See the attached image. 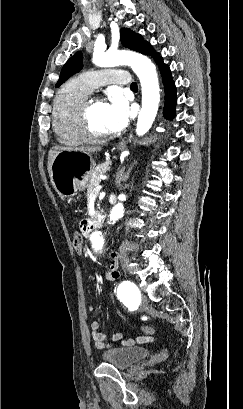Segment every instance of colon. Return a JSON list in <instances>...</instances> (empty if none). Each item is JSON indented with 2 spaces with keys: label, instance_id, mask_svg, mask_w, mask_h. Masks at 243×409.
I'll list each match as a JSON object with an SVG mask.
<instances>
[{
  "label": "colon",
  "instance_id": "5ec220e1",
  "mask_svg": "<svg viewBox=\"0 0 243 409\" xmlns=\"http://www.w3.org/2000/svg\"><path fill=\"white\" fill-rule=\"evenodd\" d=\"M72 242H73V247L76 253L81 254L82 248H83V237L79 232H75L73 234ZM141 329H142V332L147 335L154 333V329L149 325H144L142 326Z\"/></svg>",
  "mask_w": 243,
  "mask_h": 409
}]
</instances>
